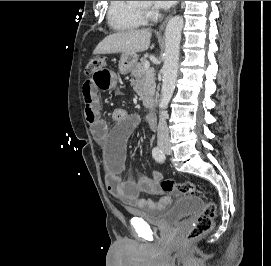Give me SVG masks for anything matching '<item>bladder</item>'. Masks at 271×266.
Returning <instances> with one entry per match:
<instances>
[{
  "label": "bladder",
  "mask_w": 271,
  "mask_h": 266,
  "mask_svg": "<svg viewBox=\"0 0 271 266\" xmlns=\"http://www.w3.org/2000/svg\"><path fill=\"white\" fill-rule=\"evenodd\" d=\"M202 206L203 202L199 197L187 196L155 214L137 210H130V213L133 217L142 219L150 225L166 227L199 210Z\"/></svg>",
  "instance_id": "obj_1"
}]
</instances>
